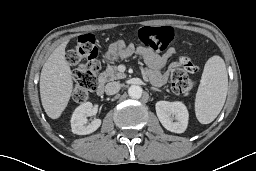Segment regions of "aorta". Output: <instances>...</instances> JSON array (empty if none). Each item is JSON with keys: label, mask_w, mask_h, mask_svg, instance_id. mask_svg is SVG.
<instances>
[{"label": "aorta", "mask_w": 256, "mask_h": 171, "mask_svg": "<svg viewBox=\"0 0 256 171\" xmlns=\"http://www.w3.org/2000/svg\"><path fill=\"white\" fill-rule=\"evenodd\" d=\"M128 94L133 99H139L142 96V88L137 85H132L128 89Z\"/></svg>", "instance_id": "aorta-1"}]
</instances>
